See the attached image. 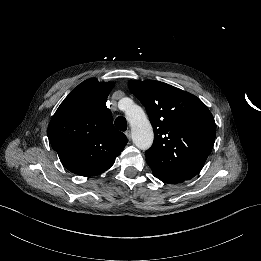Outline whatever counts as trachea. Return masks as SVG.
<instances>
[{"instance_id":"trachea-1","label":"trachea","mask_w":261,"mask_h":261,"mask_svg":"<svg viewBox=\"0 0 261 261\" xmlns=\"http://www.w3.org/2000/svg\"><path fill=\"white\" fill-rule=\"evenodd\" d=\"M115 126L117 129L121 131H125L127 129V121L124 117L119 116L115 119Z\"/></svg>"}]
</instances>
